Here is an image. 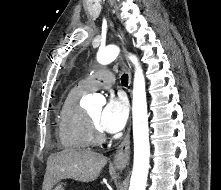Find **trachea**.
<instances>
[{
	"label": "trachea",
	"mask_w": 221,
	"mask_h": 190,
	"mask_svg": "<svg viewBox=\"0 0 221 190\" xmlns=\"http://www.w3.org/2000/svg\"><path fill=\"white\" fill-rule=\"evenodd\" d=\"M121 83H122V85H124V86H127V85H128V75H127V74H123V75L121 76Z\"/></svg>",
	"instance_id": "obj_1"
}]
</instances>
